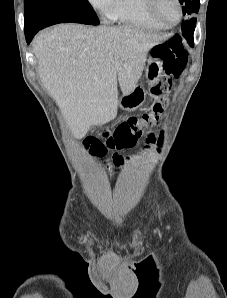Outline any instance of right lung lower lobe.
<instances>
[{"mask_svg": "<svg viewBox=\"0 0 227 298\" xmlns=\"http://www.w3.org/2000/svg\"><path fill=\"white\" fill-rule=\"evenodd\" d=\"M38 31H39V30H35V31L29 32V33H25L26 41H27L28 44L31 42L32 38L34 37V35H35Z\"/></svg>", "mask_w": 227, "mask_h": 298, "instance_id": "1", "label": "right lung lower lobe"}]
</instances>
